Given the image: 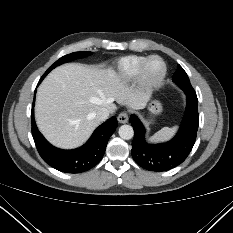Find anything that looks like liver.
I'll return each instance as SVG.
<instances>
[{"label":"liver","instance_id":"obj_1","mask_svg":"<svg viewBox=\"0 0 233 233\" xmlns=\"http://www.w3.org/2000/svg\"><path fill=\"white\" fill-rule=\"evenodd\" d=\"M114 101L140 110L147 97L128 87L111 68L64 64L52 70L38 88L36 123L50 143L73 149L85 143L100 124L95 117L99 109L115 112Z\"/></svg>","mask_w":233,"mask_h":233}]
</instances>
